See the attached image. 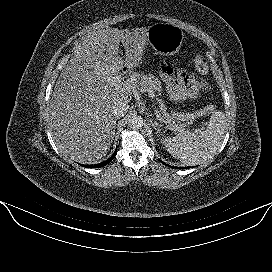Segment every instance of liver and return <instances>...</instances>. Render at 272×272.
Instances as JSON below:
<instances>
[{
	"instance_id": "liver-1",
	"label": "liver",
	"mask_w": 272,
	"mask_h": 272,
	"mask_svg": "<svg viewBox=\"0 0 272 272\" xmlns=\"http://www.w3.org/2000/svg\"><path fill=\"white\" fill-rule=\"evenodd\" d=\"M149 28L92 31L56 81L49 106L50 128L58 149L71 159L92 164L102 159L114 138L113 105L130 102L139 73L123 81V67L142 61ZM125 49V60L119 45Z\"/></svg>"
}]
</instances>
